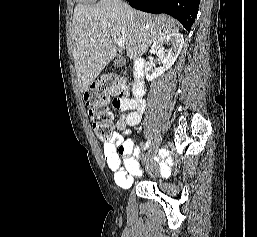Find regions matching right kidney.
<instances>
[{"label":"right kidney","mask_w":257,"mask_h":237,"mask_svg":"<svg viewBox=\"0 0 257 237\" xmlns=\"http://www.w3.org/2000/svg\"><path fill=\"white\" fill-rule=\"evenodd\" d=\"M164 45H170L171 48L166 49ZM183 45L184 38L180 33H170L156 40L153 43L151 50L159 57L163 66L155 68L152 62H147L145 64L146 79L148 81H153L171 68L180 54Z\"/></svg>","instance_id":"right-kidney-1"}]
</instances>
